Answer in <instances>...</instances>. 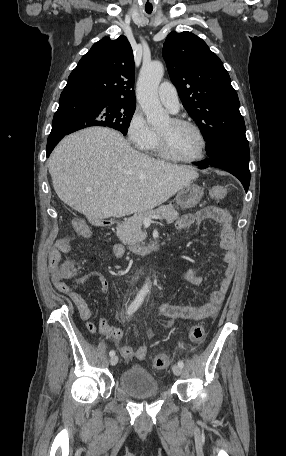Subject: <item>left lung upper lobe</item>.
I'll return each mask as SVG.
<instances>
[{
    "label": "left lung upper lobe",
    "instance_id": "1",
    "mask_svg": "<svg viewBox=\"0 0 286 456\" xmlns=\"http://www.w3.org/2000/svg\"><path fill=\"white\" fill-rule=\"evenodd\" d=\"M172 83L207 141L206 152L228 143H248L239 99L219 57L190 32H171L163 45Z\"/></svg>",
    "mask_w": 286,
    "mask_h": 456
}]
</instances>
